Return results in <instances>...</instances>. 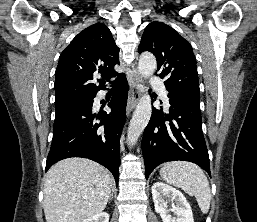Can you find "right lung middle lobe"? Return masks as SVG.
Returning <instances> with one entry per match:
<instances>
[{"mask_svg":"<svg viewBox=\"0 0 257 222\" xmlns=\"http://www.w3.org/2000/svg\"><path fill=\"white\" fill-rule=\"evenodd\" d=\"M89 100L90 98H86V99H78V100H73V101H68L63 103H57L55 104L56 116L73 108H85Z\"/></svg>","mask_w":257,"mask_h":222,"instance_id":"dd1d6c3e","label":"right lung middle lobe"}]
</instances>
